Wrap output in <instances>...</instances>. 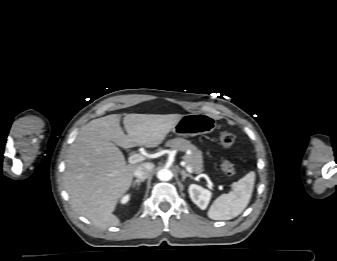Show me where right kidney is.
<instances>
[{
  "label": "right kidney",
  "instance_id": "obj_1",
  "mask_svg": "<svg viewBox=\"0 0 337 261\" xmlns=\"http://www.w3.org/2000/svg\"><path fill=\"white\" fill-rule=\"evenodd\" d=\"M129 198H130V196H129V195H126V196H124V197L121 199V202H122L123 204H125V203H127V202L129 201Z\"/></svg>",
  "mask_w": 337,
  "mask_h": 261
}]
</instances>
